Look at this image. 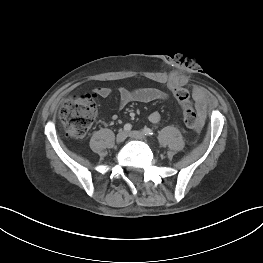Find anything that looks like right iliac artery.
I'll list each match as a JSON object with an SVG mask.
<instances>
[{
    "mask_svg": "<svg viewBox=\"0 0 263 263\" xmlns=\"http://www.w3.org/2000/svg\"><path fill=\"white\" fill-rule=\"evenodd\" d=\"M131 129H132V125L131 124L127 123V124L124 125V130L126 132L130 131Z\"/></svg>",
    "mask_w": 263,
    "mask_h": 263,
    "instance_id": "1",
    "label": "right iliac artery"
}]
</instances>
